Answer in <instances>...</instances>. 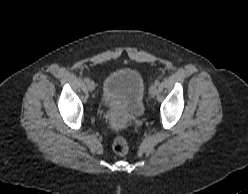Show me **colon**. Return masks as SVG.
Returning a JSON list of instances; mask_svg holds the SVG:
<instances>
[{
    "label": "colon",
    "instance_id": "5ec220e1",
    "mask_svg": "<svg viewBox=\"0 0 248 194\" xmlns=\"http://www.w3.org/2000/svg\"><path fill=\"white\" fill-rule=\"evenodd\" d=\"M112 147L114 152L118 155H126L129 152V143L121 135L114 139Z\"/></svg>",
    "mask_w": 248,
    "mask_h": 194
}]
</instances>
